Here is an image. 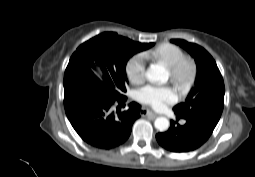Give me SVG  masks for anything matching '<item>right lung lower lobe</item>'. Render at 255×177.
Wrapping results in <instances>:
<instances>
[{
  "instance_id": "1",
  "label": "right lung lower lobe",
  "mask_w": 255,
  "mask_h": 177,
  "mask_svg": "<svg viewBox=\"0 0 255 177\" xmlns=\"http://www.w3.org/2000/svg\"><path fill=\"white\" fill-rule=\"evenodd\" d=\"M125 100V96L115 98L96 87L64 88V107L71 125L86 143L100 149L123 144L134 121L140 117L141 106L136 102L130 103L128 110L115 114L113 106Z\"/></svg>"
}]
</instances>
